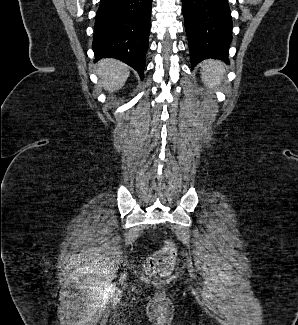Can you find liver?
I'll return each mask as SVG.
<instances>
[{"instance_id":"6515ba94","label":"liver","mask_w":298,"mask_h":325,"mask_svg":"<svg viewBox=\"0 0 298 325\" xmlns=\"http://www.w3.org/2000/svg\"><path fill=\"white\" fill-rule=\"evenodd\" d=\"M96 72L101 78V86L109 92L122 88L130 74L129 66L116 58H102L97 64Z\"/></svg>"}]
</instances>
